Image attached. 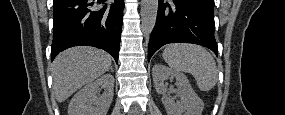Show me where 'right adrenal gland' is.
Returning a JSON list of instances; mask_svg holds the SVG:
<instances>
[{"label":"right adrenal gland","instance_id":"right-adrenal-gland-1","mask_svg":"<svg viewBox=\"0 0 285 115\" xmlns=\"http://www.w3.org/2000/svg\"><path fill=\"white\" fill-rule=\"evenodd\" d=\"M110 70H111V72H113V68L112 67H110Z\"/></svg>","mask_w":285,"mask_h":115}]
</instances>
